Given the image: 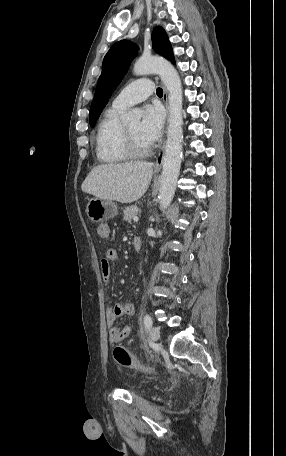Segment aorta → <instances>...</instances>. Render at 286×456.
<instances>
[{"instance_id":"762f6f07","label":"aorta","mask_w":286,"mask_h":456,"mask_svg":"<svg viewBox=\"0 0 286 456\" xmlns=\"http://www.w3.org/2000/svg\"><path fill=\"white\" fill-rule=\"evenodd\" d=\"M133 72L139 76L157 73L168 91L169 126L158 196L160 209L165 210L171 204L175 194L182 158V84L173 65L160 57L139 58L134 64ZM141 116L140 110L133 109L126 114L125 121L139 122Z\"/></svg>"}]
</instances>
